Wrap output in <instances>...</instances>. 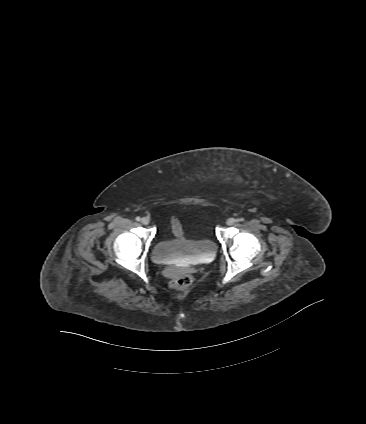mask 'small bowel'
Returning a JSON list of instances; mask_svg holds the SVG:
<instances>
[{"label": "small bowel", "mask_w": 366, "mask_h": 424, "mask_svg": "<svg viewBox=\"0 0 366 424\" xmlns=\"http://www.w3.org/2000/svg\"><path fill=\"white\" fill-rule=\"evenodd\" d=\"M170 230L173 235L179 236L181 234V226L176 218H172L170 222Z\"/></svg>", "instance_id": "small-bowel-1"}]
</instances>
